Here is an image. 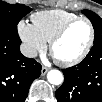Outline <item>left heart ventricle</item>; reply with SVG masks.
<instances>
[{
  "mask_svg": "<svg viewBox=\"0 0 102 102\" xmlns=\"http://www.w3.org/2000/svg\"><path fill=\"white\" fill-rule=\"evenodd\" d=\"M90 31L86 23L73 25L53 49V56L62 61L76 58L85 48Z\"/></svg>",
  "mask_w": 102,
  "mask_h": 102,
  "instance_id": "left-heart-ventricle-1",
  "label": "left heart ventricle"
}]
</instances>
